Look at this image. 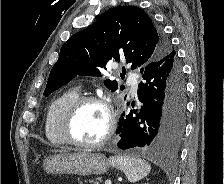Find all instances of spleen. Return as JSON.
Segmentation results:
<instances>
[{"label":"spleen","instance_id":"3e777b00","mask_svg":"<svg viewBox=\"0 0 224 184\" xmlns=\"http://www.w3.org/2000/svg\"><path fill=\"white\" fill-rule=\"evenodd\" d=\"M109 163L113 167L123 171L131 183L143 179L151 171L150 164L137 157H129L126 155L112 156L109 158Z\"/></svg>","mask_w":224,"mask_h":184}]
</instances>
